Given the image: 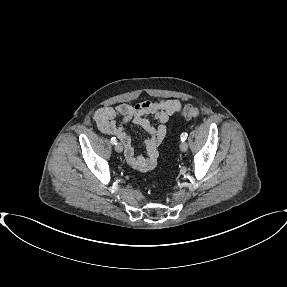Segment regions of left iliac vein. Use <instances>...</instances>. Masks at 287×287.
<instances>
[{"label": "left iliac vein", "mask_w": 287, "mask_h": 287, "mask_svg": "<svg viewBox=\"0 0 287 287\" xmlns=\"http://www.w3.org/2000/svg\"><path fill=\"white\" fill-rule=\"evenodd\" d=\"M187 149H188V144L186 143V142H181L180 143V150L182 151V152H185V151H187Z\"/></svg>", "instance_id": "1"}]
</instances>
